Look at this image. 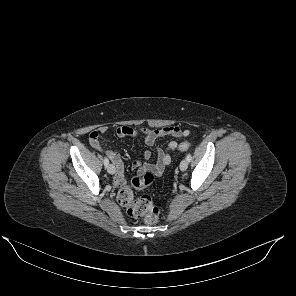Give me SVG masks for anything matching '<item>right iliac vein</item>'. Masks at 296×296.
Instances as JSON below:
<instances>
[{"mask_svg": "<svg viewBox=\"0 0 296 296\" xmlns=\"http://www.w3.org/2000/svg\"><path fill=\"white\" fill-rule=\"evenodd\" d=\"M107 171L109 174H114L115 173V167L113 164L108 165Z\"/></svg>", "mask_w": 296, "mask_h": 296, "instance_id": "right-iliac-vein-1", "label": "right iliac vein"}]
</instances>
